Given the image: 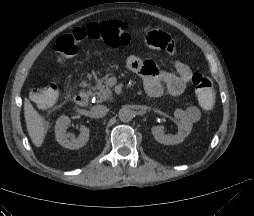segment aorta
I'll use <instances>...</instances> for the list:
<instances>
[{
  "label": "aorta",
  "mask_w": 254,
  "mask_h": 216,
  "mask_svg": "<svg viewBox=\"0 0 254 216\" xmlns=\"http://www.w3.org/2000/svg\"><path fill=\"white\" fill-rule=\"evenodd\" d=\"M118 117L122 122H130L133 117V111L128 107H123L119 110Z\"/></svg>",
  "instance_id": "obj_1"
}]
</instances>
